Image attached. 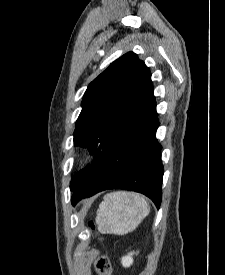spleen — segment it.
I'll use <instances>...</instances> for the list:
<instances>
[{"instance_id":"obj_1","label":"spleen","mask_w":225,"mask_h":275,"mask_svg":"<svg viewBox=\"0 0 225 275\" xmlns=\"http://www.w3.org/2000/svg\"><path fill=\"white\" fill-rule=\"evenodd\" d=\"M149 212V204L142 196L112 192L106 194L99 205L96 223L102 234L125 235L135 230Z\"/></svg>"}]
</instances>
